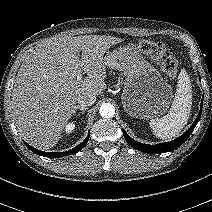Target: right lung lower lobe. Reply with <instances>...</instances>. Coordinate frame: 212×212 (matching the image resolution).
<instances>
[{"label":"right lung lower lobe","instance_id":"1","mask_svg":"<svg viewBox=\"0 0 212 212\" xmlns=\"http://www.w3.org/2000/svg\"><path fill=\"white\" fill-rule=\"evenodd\" d=\"M89 140V134L87 136V138L78 146H76L75 148H73L72 150L66 151V152H44V151H40L38 149H35L33 147H31L30 145H28L27 143L26 146L34 153L44 156V157H49V158H57V157H62V156H66L69 154H74L76 152H78L79 150H81L88 142Z\"/></svg>","mask_w":212,"mask_h":212}]
</instances>
